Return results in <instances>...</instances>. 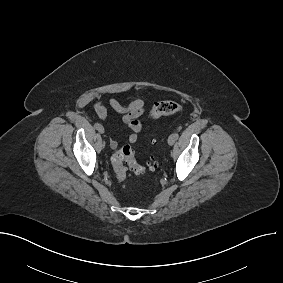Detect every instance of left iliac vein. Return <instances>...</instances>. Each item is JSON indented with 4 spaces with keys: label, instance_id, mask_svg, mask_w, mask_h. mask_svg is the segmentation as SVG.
<instances>
[{
    "label": "left iliac vein",
    "instance_id": "4c4485c4",
    "mask_svg": "<svg viewBox=\"0 0 283 283\" xmlns=\"http://www.w3.org/2000/svg\"><path fill=\"white\" fill-rule=\"evenodd\" d=\"M176 140H177V139H176V137H175V134H171V135L168 137V144H169L170 146H172V145L175 143Z\"/></svg>",
    "mask_w": 283,
    "mask_h": 283
}]
</instances>
